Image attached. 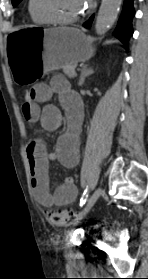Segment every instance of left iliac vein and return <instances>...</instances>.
I'll use <instances>...</instances> for the list:
<instances>
[{
	"instance_id": "left-iliac-vein-1",
	"label": "left iliac vein",
	"mask_w": 148,
	"mask_h": 279,
	"mask_svg": "<svg viewBox=\"0 0 148 279\" xmlns=\"http://www.w3.org/2000/svg\"><path fill=\"white\" fill-rule=\"evenodd\" d=\"M101 194H102V188L98 187L93 193V195L90 197V199L87 201V204L85 205L81 213L74 220L73 223L74 225L77 224L90 211V209L93 207V205L95 204V202L97 201V199Z\"/></svg>"
}]
</instances>
